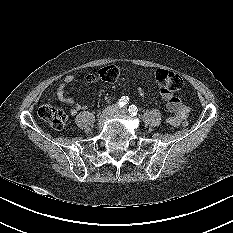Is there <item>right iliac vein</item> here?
<instances>
[{"label": "right iliac vein", "mask_w": 233, "mask_h": 233, "mask_svg": "<svg viewBox=\"0 0 233 233\" xmlns=\"http://www.w3.org/2000/svg\"><path fill=\"white\" fill-rule=\"evenodd\" d=\"M116 111H117L116 106H109L105 110H103V112L101 113L98 119V123H97L98 128H102L105 121L109 119L110 117H112Z\"/></svg>", "instance_id": "1"}]
</instances>
